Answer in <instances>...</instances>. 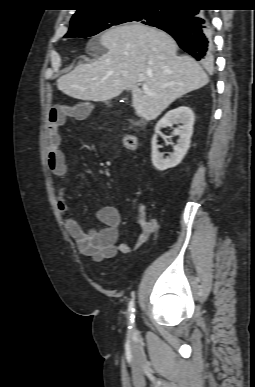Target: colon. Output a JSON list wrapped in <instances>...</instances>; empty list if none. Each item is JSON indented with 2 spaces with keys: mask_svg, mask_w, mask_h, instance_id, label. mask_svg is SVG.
I'll list each match as a JSON object with an SVG mask.
<instances>
[{
  "mask_svg": "<svg viewBox=\"0 0 255 387\" xmlns=\"http://www.w3.org/2000/svg\"><path fill=\"white\" fill-rule=\"evenodd\" d=\"M120 143L123 147L126 149L132 151V152H138L139 151V143L135 136L133 135H123L120 139ZM139 226L141 229V233L145 235H150L154 233L157 229V223L155 219H149L144 216H141L139 218Z\"/></svg>",
  "mask_w": 255,
  "mask_h": 387,
  "instance_id": "1",
  "label": "colon"
}]
</instances>
